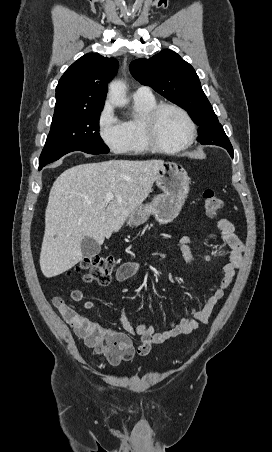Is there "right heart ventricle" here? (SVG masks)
<instances>
[{"label":"right heart ventricle","mask_w":272,"mask_h":452,"mask_svg":"<svg viewBox=\"0 0 272 452\" xmlns=\"http://www.w3.org/2000/svg\"><path fill=\"white\" fill-rule=\"evenodd\" d=\"M134 115L122 122L125 143L122 152L141 154L151 150L143 133V122L147 113L157 105L155 97L134 96Z\"/></svg>","instance_id":"e07e8e85"}]
</instances>
